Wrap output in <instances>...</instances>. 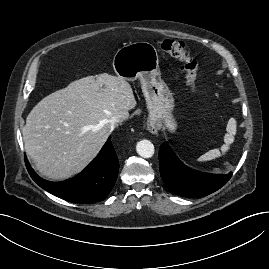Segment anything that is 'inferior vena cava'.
Segmentation results:
<instances>
[{
    "label": "inferior vena cava",
    "mask_w": 269,
    "mask_h": 269,
    "mask_svg": "<svg viewBox=\"0 0 269 269\" xmlns=\"http://www.w3.org/2000/svg\"><path fill=\"white\" fill-rule=\"evenodd\" d=\"M122 116L120 115H116V116H112L110 119H109V123L111 124V126L114 128L117 123H120L122 122Z\"/></svg>",
    "instance_id": "602c4592"
}]
</instances>
